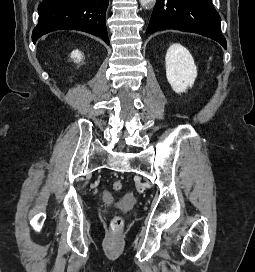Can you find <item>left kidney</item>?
I'll list each match as a JSON object with an SVG mask.
<instances>
[{"label": "left kidney", "instance_id": "obj_1", "mask_svg": "<svg viewBox=\"0 0 255 272\" xmlns=\"http://www.w3.org/2000/svg\"><path fill=\"white\" fill-rule=\"evenodd\" d=\"M166 77L176 93L192 87L197 77V67L190 52L182 45L172 44L167 50Z\"/></svg>", "mask_w": 255, "mask_h": 272}]
</instances>
